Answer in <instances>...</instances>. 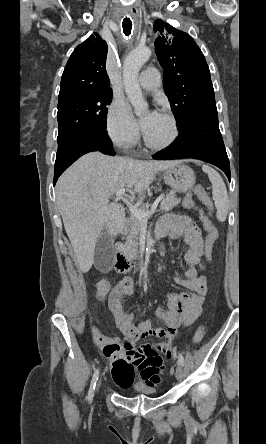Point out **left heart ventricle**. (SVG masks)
Wrapping results in <instances>:
<instances>
[{"mask_svg":"<svg viewBox=\"0 0 266 444\" xmlns=\"http://www.w3.org/2000/svg\"><path fill=\"white\" fill-rule=\"evenodd\" d=\"M154 144H164L172 134L170 121L160 114L157 119L144 130Z\"/></svg>","mask_w":266,"mask_h":444,"instance_id":"1","label":"left heart ventricle"}]
</instances>
